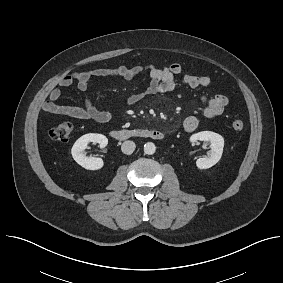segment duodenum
<instances>
[{"mask_svg": "<svg viewBox=\"0 0 283 283\" xmlns=\"http://www.w3.org/2000/svg\"><path fill=\"white\" fill-rule=\"evenodd\" d=\"M110 135L115 140H128L131 138L162 140L165 137L163 131L149 129H115L111 131Z\"/></svg>", "mask_w": 283, "mask_h": 283, "instance_id": "410a0bca", "label": "duodenum"}]
</instances>
